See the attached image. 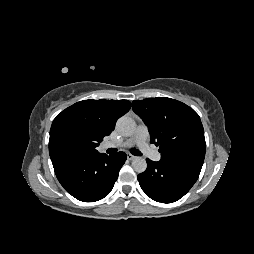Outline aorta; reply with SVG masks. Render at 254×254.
Segmentation results:
<instances>
[{"instance_id":"obj_1","label":"aorta","mask_w":254,"mask_h":254,"mask_svg":"<svg viewBox=\"0 0 254 254\" xmlns=\"http://www.w3.org/2000/svg\"><path fill=\"white\" fill-rule=\"evenodd\" d=\"M117 130L124 136H131L136 128L135 121L128 116H122L116 123ZM132 168L137 173H142L147 168V162L143 157L137 156L132 160Z\"/></svg>"}]
</instances>
